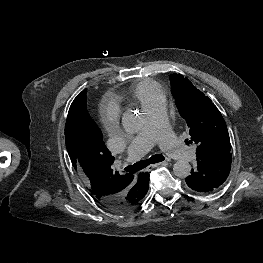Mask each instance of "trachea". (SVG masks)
I'll list each match as a JSON object with an SVG mask.
<instances>
[{
	"mask_svg": "<svg viewBox=\"0 0 263 263\" xmlns=\"http://www.w3.org/2000/svg\"><path fill=\"white\" fill-rule=\"evenodd\" d=\"M164 159L165 158H164L163 155L156 154V155L150 157L149 159L139 161V162H137V163H135L133 165H129V166L125 167L124 170L127 171V172H130V173H134V172H137V171H139L141 169H144L149 164L162 162Z\"/></svg>",
	"mask_w": 263,
	"mask_h": 263,
	"instance_id": "obj_1",
	"label": "trachea"
}]
</instances>
